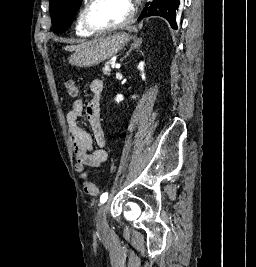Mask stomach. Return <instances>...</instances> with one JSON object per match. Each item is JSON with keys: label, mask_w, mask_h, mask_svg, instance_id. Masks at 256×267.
I'll return each instance as SVG.
<instances>
[{"label": "stomach", "mask_w": 256, "mask_h": 267, "mask_svg": "<svg viewBox=\"0 0 256 267\" xmlns=\"http://www.w3.org/2000/svg\"><path fill=\"white\" fill-rule=\"evenodd\" d=\"M131 40V36L127 32H116L109 34L106 38H99L97 44L86 46L81 52H75L69 58L70 64L87 68V66H97L101 62H105L108 58H112L118 54L125 44Z\"/></svg>", "instance_id": "obj_1"}]
</instances>
